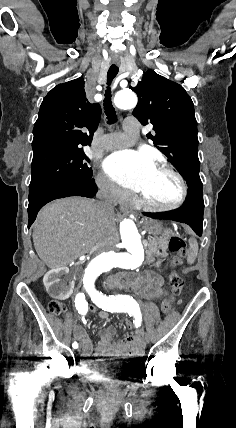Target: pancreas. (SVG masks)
Segmentation results:
<instances>
[{
  "instance_id": "cf45deb5",
  "label": "pancreas",
  "mask_w": 236,
  "mask_h": 428,
  "mask_svg": "<svg viewBox=\"0 0 236 428\" xmlns=\"http://www.w3.org/2000/svg\"><path fill=\"white\" fill-rule=\"evenodd\" d=\"M168 246L166 240L163 238H154V240H150L148 244V248L146 250L147 260H151L152 256L155 258H166Z\"/></svg>"
}]
</instances>
